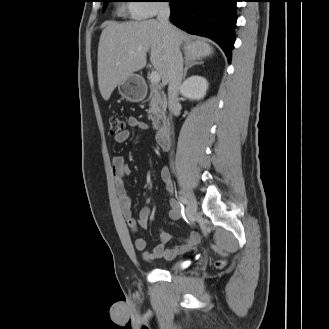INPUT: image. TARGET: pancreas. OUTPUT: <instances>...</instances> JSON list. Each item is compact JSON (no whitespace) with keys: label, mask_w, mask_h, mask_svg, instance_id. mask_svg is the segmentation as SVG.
<instances>
[{"label":"pancreas","mask_w":329,"mask_h":329,"mask_svg":"<svg viewBox=\"0 0 329 329\" xmlns=\"http://www.w3.org/2000/svg\"><path fill=\"white\" fill-rule=\"evenodd\" d=\"M150 89V108L148 111V118L152 121L153 127L158 128L160 120L164 117L166 112V99L165 95L160 91L159 87L151 84Z\"/></svg>","instance_id":"1"}]
</instances>
